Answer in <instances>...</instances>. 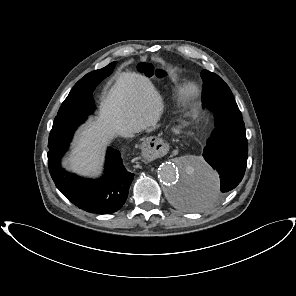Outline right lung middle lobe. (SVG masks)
Returning <instances> with one entry per match:
<instances>
[{"label": "right lung middle lobe", "instance_id": "obj_1", "mask_svg": "<svg viewBox=\"0 0 296 296\" xmlns=\"http://www.w3.org/2000/svg\"><path fill=\"white\" fill-rule=\"evenodd\" d=\"M115 64L116 62H112L102 69L88 73L75 84L55 117L49 136V148L71 141L76 128L94 110L92 91L112 73Z\"/></svg>", "mask_w": 296, "mask_h": 296}]
</instances>
